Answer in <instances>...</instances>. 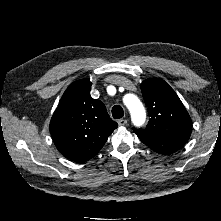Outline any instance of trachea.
<instances>
[{"mask_svg":"<svg viewBox=\"0 0 221 221\" xmlns=\"http://www.w3.org/2000/svg\"><path fill=\"white\" fill-rule=\"evenodd\" d=\"M112 116L114 119H120L124 116V111L120 105L113 106Z\"/></svg>","mask_w":221,"mask_h":221,"instance_id":"3493384b","label":"trachea"}]
</instances>
